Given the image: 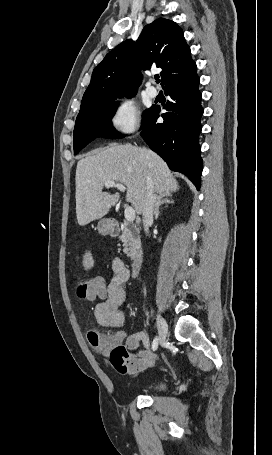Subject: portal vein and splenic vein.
Listing matches in <instances>:
<instances>
[{
  "label": "portal vein and splenic vein",
  "instance_id": "1",
  "mask_svg": "<svg viewBox=\"0 0 272 455\" xmlns=\"http://www.w3.org/2000/svg\"><path fill=\"white\" fill-rule=\"evenodd\" d=\"M104 184L106 187H116L122 192L125 191V187L121 183H115L114 181H106ZM124 216L128 222H133L135 220V210L132 207H126L124 211Z\"/></svg>",
  "mask_w": 272,
  "mask_h": 455
}]
</instances>
